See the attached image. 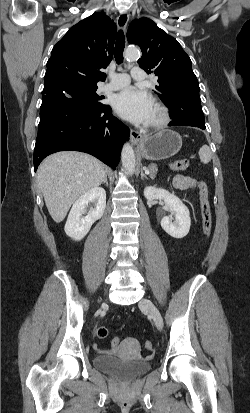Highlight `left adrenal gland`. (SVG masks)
<instances>
[{"label": "left adrenal gland", "mask_w": 250, "mask_h": 413, "mask_svg": "<svg viewBox=\"0 0 250 413\" xmlns=\"http://www.w3.org/2000/svg\"><path fill=\"white\" fill-rule=\"evenodd\" d=\"M143 170H145V167H143V168L141 169V179H143V178L148 179V177L146 176V174H144Z\"/></svg>", "instance_id": "obj_1"}]
</instances>
